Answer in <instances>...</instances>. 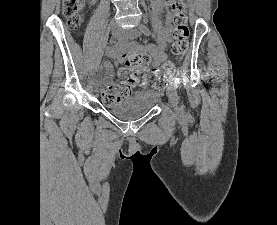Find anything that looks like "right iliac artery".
<instances>
[{"label":"right iliac artery","instance_id":"82829eb1","mask_svg":"<svg viewBox=\"0 0 277 225\" xmlns=\"http://www.w3.org/2000/svg\"><path fill=\"white\" fill-rule=\"evenodd\" d=\"M128 39L127 38H119L118 41H113V47H121L127 43ZM94 83L99 82V75L96 74L93 80Z\"/></svg>","mask_w":277,"mask_h":225}]
</instances>
